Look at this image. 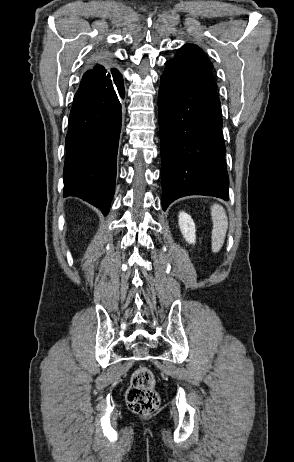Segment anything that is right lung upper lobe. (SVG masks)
<instances>
[{
    "instance_id": "right-lung-upper-lobe-1",
    "label": "right lung upper lobe",
    "mask_w": 294,
    "mask_h": 462,
    "mask_svg": "<svg viewBox=\"0 0 294 462\" xmlns=\"http://www.w3.org/2000/svg\"><path fill=\"white\" fill-rule=\"evenodd\" d=\"M119 74V71L112 66L111 58L105 53H101L91 69L84 73L81 83H94L113 78Z\"/></svg>"
}]
</instances>
